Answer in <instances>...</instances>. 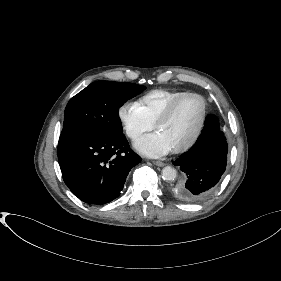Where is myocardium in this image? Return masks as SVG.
<instances>
[{
    "mask_svg": "<svg viewBox=\"0 0 281 281\" xmlns=\"http://www.w3.org/2000/svg\"><path fill=\"white\" fill-rule=\"evenodd\" d=\"M188 97H196L200 100L201 105H202V112H201V117H200V121L199 124L194 132V134L192 135V137L183 145L176 147L174 149H172L171 151L173 153H182L185 152L186 150L190 149L198 140L199 136L201 135V132L204 128L205 125V121H206V115H207V103L205 98L198 94V93H194V92H186L184 94H182L181 96L175 98L174 100H172L156 117L154 123H153V127L154 129L157 128V126L162 123L163 121H165L167 118H169V116L172 114V112L174 111V109L176 108V106L183 101L184 99L188 98Z\"/></svg>",
    "mask_w": 281,
    "mask_h": 281,
    "instance_id": "myocardium-1",
    "label": "myocardium"
}]
</instances>
